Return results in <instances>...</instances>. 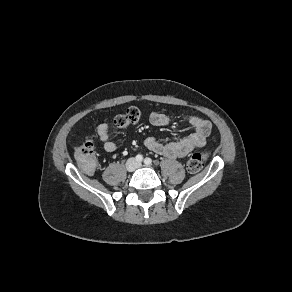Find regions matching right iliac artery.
Listing matches in <instances>:
<instances>
[{"label": "right iliac artery", "instance_id": "obj_1", "mask_svg": "<svg viewBox=\"0 0 292 292\" xmlns=\"http://www.w3.org/2000/svg\"><path fill=\"white\" fill-rule=\"evenodd\" d=\"M143 160V156L141 155V154H138L137 156H136V161L137 162H141Z\"/></svg>", "mask_w": 292, "mask_h": 292}]
</instances>
